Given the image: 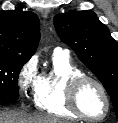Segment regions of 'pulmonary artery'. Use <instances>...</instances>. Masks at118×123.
Returning <instances> with one entry per match:
<instances>
[{"label":"pulmonary artery","mask_w":118,"mask_h":123,"mask_svg":"<svg viewBox=\"0 0 118 123\" xmlns=\"http://www.w3.org/2000/svg\"><path fill=\"white\" fill-rule=\"evenodd\" d=\"M54 55H63V56H68L69 55V51L66 49H62V48H55L54 50Z\"/></svg>","instance_id":"pulmonary-artery-1"}]
</instances>
